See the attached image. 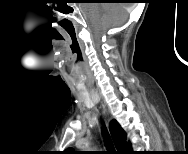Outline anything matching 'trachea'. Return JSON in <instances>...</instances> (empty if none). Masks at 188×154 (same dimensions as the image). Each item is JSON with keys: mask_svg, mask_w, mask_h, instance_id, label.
<instances>
[{"mask_svg": "<svg viewBox=\"0 0 188 154\" xmlns=\"http://www.w3.org/2000/svg\"><path fill=\"white\" fill-rule=\"evenodd\" d=\"M103 136L105 139V145L107 151H105L107 154H114L115 153V148L113 146V143L111 141L110 135L105 127H103Z\"/></svg>", "mask_w": 188, "mask_h": 154, "instance_id": "obj_1", "label": "trachea"}]
</instances>
